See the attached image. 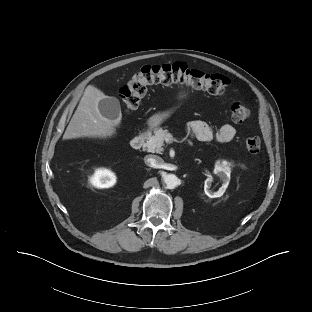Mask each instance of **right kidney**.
Masks as SVG:
<instances>
[{
  "instance_id": "right-kidney-1",
  "label": "right kidney",
  "mask_w": 312,
  "mask_h": 312,
  "mask_svg": "<svg viewBox=\"0 0 312 312\" xmlns=\"http://www.w3.org/2000/svg\"><path fill=\"white\" fill-rule=\"evenodd\" d=\"M116 182V176L107 169H98L91 178V183L97 188H109Z\"/></svg>"
}]
</instances>
